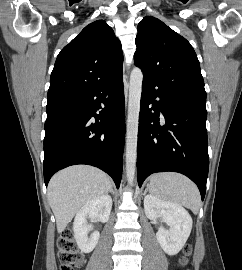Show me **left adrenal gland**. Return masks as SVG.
I'll return each mask as SVG.
<instances>
[{
    "instance_id": "1",
    "label": "left adrenal gland",
    "mask_w": 242,
    "mask_h": 270,
    "mask_svg": "<svg viewBox=\"0 0 242 270\" xmlns=\"http://www.w3.org/2000/svg\"><path fill=\"white\" fill-rule=\"evenodd\" d=\"M148 189H149V187H147V188L145 189L144 194H143L144 196L146 195Z\"/></svg>"
}]
</instances>
